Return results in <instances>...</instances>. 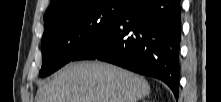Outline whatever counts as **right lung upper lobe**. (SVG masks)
<instances>
[{
  "label": "right lung upper lobe",
  "mask_w": 221,
  "mask_h": 102,
  "mask_svg": "<svg viewBox=\"0 0 221 102\" xmlns=\"http://www.w3.org/2000/svg\"><path fill=\"white\" fill-rule=\"evenodd\" d=\"M82 0H50V6L46 10L44 15V21L53 17L60 11L68 8L72 3L79 2Z\"/></svg>",
  "instance_id": "obj_1"
}]
</instances>
